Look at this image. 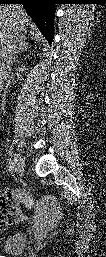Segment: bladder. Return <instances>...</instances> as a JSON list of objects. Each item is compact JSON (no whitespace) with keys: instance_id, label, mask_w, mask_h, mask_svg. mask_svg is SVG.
<instances>
[{"instance_id":"bladder-1","label":"bladder","mask_w":106,"mask_h":257,"mask_svg":"<svg viewBox=\"0 0 106 257\" xmlns=\"http://www.w3.org/2000/svg\"><path fill=\"white\" fill-rule=\"evenodd\" d=\"M26 244V234L15 233L4 239L2 243V250L7 254H19L25 249Z\"/></svg>"}]
</instances>
